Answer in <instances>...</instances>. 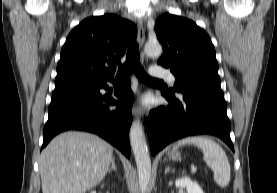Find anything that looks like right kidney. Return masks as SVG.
<instances>
[{"mask_svg": "<svg viewBox=\"0 0 277 193\" xmlns=\"http://www.w3.org/2000/svg\"><path fill=\"white\" fill-rule=\"evenodd\" d=\"M91 193H96L95 191H92Z\"/></svg>", "mask_w": 277, "mask_h": 193, "instance_id": "1", "label": "right kidney"}]
</instances>
